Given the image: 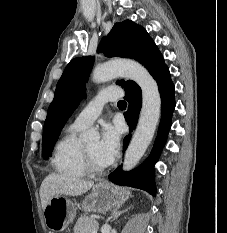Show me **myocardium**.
Here are the masks:
<instances>
[{
	"label": "myocardium",
	"instance_id": "obj_1",
	"mask_svg": "<svg viewBox=\"0 0 227 233\" xmlns=\"http://www.w3.org/2000/svg\"><path fill=\"white\" fill-rule=\"evenodd\" d=\"M82 159H83V164H84V167H85L87 173H90V174H102L109 167L108 164H106L104 166L96 165L93 162L92 158L90 157L89 153L87 152L85 146L82 147Z\"/></svg>",
	"mask_w": 227,
	"mask_h": 233
}]
</instances>
